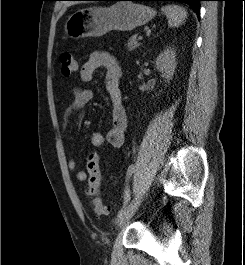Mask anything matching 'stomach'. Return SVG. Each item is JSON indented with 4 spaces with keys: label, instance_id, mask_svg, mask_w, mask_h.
<instances>
[{
    "label": "stomach",
    "instance_id": "stomach-1",
    "mask_svg": "<svg viewBox=\"0 0 245 265\" xmlns=\"http://www.w3.org/2000/svg\"><path fill=\"white\" fill-rule=\"evenodd\" d=\"M156 15L151 7L133 2H117L109 7L78 9L65 23L66 34L73 39L99 37L111 30L131 31L145 25Z\"/></svg>",
    "mask_w": 245,
    "mask_h": 265
}]
</instances>
